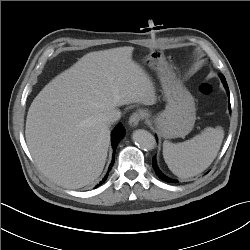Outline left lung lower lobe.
Instances as JSON below:
<instances>
[{
  "label": "left lung lower lobe",
  "instance_id": "obj_1",
  "mask_svg": "<svg viewBox=\"0 0 250 250\" xmlns=\"http://www.w3.org/2000/svg\"><path fill=\"white\" fill-rule=\"evenodd\" d=\"M219 76H220L221 81L223 82L224 87H225V89H226V91H227V93H228V95H229V89H228V85H227V82H226V80H225L224 75L221 74V73H219ZM229 109H230V111H231L230 104H229ZM152 166H153V168H154L156 174L158 175V177H159L160 179H162V180H164V181H166V182H169V183H177L176 180H172V179L166 177L165 175H163V174L161 173V171H160L159 168L157 167V163H156L155 157H153V164H152Z\"/></svg>",
  "mask_w": 250,
  "mask_h": 250
}]
</instances>
